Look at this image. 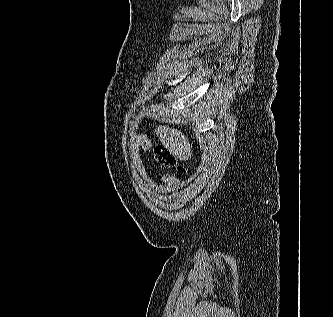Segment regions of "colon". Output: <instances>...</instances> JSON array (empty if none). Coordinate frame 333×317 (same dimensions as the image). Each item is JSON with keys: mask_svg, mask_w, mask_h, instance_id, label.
<instances>
[{"mask_svg": "<svg viewBox=\"0 0 333 317\" xmlns=\"http://www.w3.org/2000/svg\"><path fill=\"white\" fill-rule=\"evenodd\" d=\"M154 155L156 160L165 166L175 167L178 172L185 173L186 169L183 166H179L174 155L163 145H157L154 148Z\"/></svg>", "mask_w": 333, "mask_h": 317, "instance_id": "1", "label": "colon"}]
</instances>
